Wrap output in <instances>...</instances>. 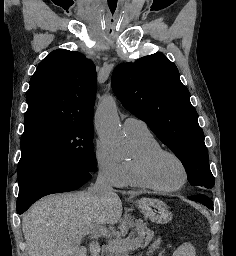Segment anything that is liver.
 Wrapping results in <instances>:
<instances>
[{"instance_id":"1","label":"liver","mask_w":236,"mask_h":256,"mask_svg":"<svg viewBox=\"0 0 236 256\" xmlns=\"http://www.w3.org/2000/svg\"><path fill=\"white\" fill-rule=\"evenodd\" d=\"M137 194V192H129ZM117 194L97 198L90 188L77 194H51L29 208L22 220L28 256H98V242L80 248L83 228L116 224L122 216ZM90 232V230H88Z\"/></svg>"}]
</instances>
